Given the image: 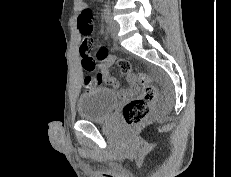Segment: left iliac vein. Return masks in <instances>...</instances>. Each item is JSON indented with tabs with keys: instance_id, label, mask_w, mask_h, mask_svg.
<instances>
[{
	"instance_id": "obj_1",
	"label": "left iliac vein",
	"mask_w": 231,
	"mask_h": 177,
	"mask_svg": "<svg viewBox=\"0 0 231 177\" xmlns=\"http://www.w3.org/2000/svg\"><path fill=\"white\" fill-rule=\"evenodd\" d=\"M109 29H110L111 35L114 38V40H117L119 24L115 20H113L112 17H110V20H109Z\"/></svg>"
}]
</instances>
